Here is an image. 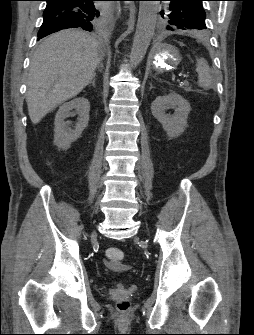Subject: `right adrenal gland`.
<instances>
[{
    "instance_id": "2a0ac1e0",
    "label": "right adrenal gland",
    "mask_w": 254,
    "mask_h": 335,
    "mask_svg": "<svg viewBox=\"0 0 254 335\" xmlns=\"http://www.w3.org/2000/svg\"><path fill=\"white\" fill-rule=\"evenodd\" d=\"M95 80H96V76L94 74L93 78H92V81H91V84L93 87H95Z\"/></svg>"
}]
</instances>
